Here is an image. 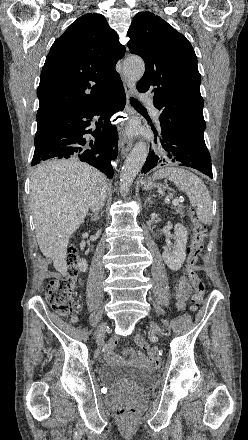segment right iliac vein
<instances>
[{"instance_id": "right-iliac-vein-1", "label": "right iliac vein", "mask_w": 248, "mask_h": 440, "mask_svg": "<svg viewBox=\"0 0 248 440\" xmlns=\"http://www.w3.org/2000/svg\"><path fill=\"white\" fill-rule=\"evenodd\" d=\"M105 329H106V323H103L97 330L96 333L97 340H100L104 337Z\"/></svg>"}]
</instances>
